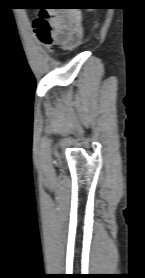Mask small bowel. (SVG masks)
Segmentation results:
<instances>
[{
  "instance_id": "1",
  "label": "small bowel",
  "mask_w": 145,
  "mask_h": 278,
  "mask_svg": "<svg viewBox=\"0 0 145 278\" xmlns=\"http://www.w3.org/2000/svg\"><path fill=\"white\" fill-rule=\"evenodd\" d=\"M51 17L53 23L52 40L66 50L78 46L83 38L80 15L74 11L57 9Z\"/></svg>"
}]
</instances>
